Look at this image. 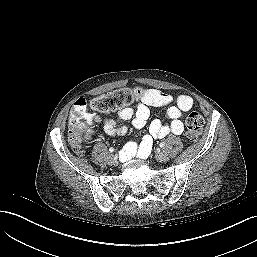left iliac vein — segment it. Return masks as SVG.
Returning <instances> with one entry per match:
<instances>
[{"label": "left iliac vein", "mask_w": 257, "mask_h": 257, "mask_svg": "<svg viewBox=\"0 0 257 257\" xmlns=\"http://www.w3.org/2000/svg\"><path fill=\"white\" fill-rule=\"evenodd\" d=\"M155 158L159 162H167L169 160V156L165 152H160V153L156 154Z\"/></svg>", "instance_id": "1"}]
</instances>
